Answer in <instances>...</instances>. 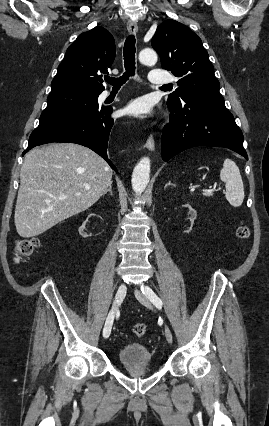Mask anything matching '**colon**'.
Instances as JSON below:
<instances>
[{
  "label": "colon",
  "mask_w": 269,
  "mask_h": 426,
  "mask_svg": "<svg viewBox=\"0 0 269 426\" xmlns=\"http://www.w3.org/2000/svg\"><path fill=\"white\" fill-rule=\"evenodd\" d=\"M237 237L241 240H246L249 237V228L247 225L242 224L237 229ZM39 246V241L36 238H23L16 242L15 252L17 258L31 255ZM133 332L137 337H143L147 334V327L143 323L135 324Z\"/></svg>",
  "instance_id": "obj_1"
}]
</instances>
